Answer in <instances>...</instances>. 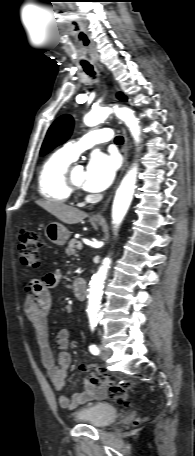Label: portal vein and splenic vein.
I'll use <instances>...</instances> for the list:
<instances>
[{
    "label": "portal vein and splenic vein",
    "instance_id": "obj_1",
    "mask_svg": "<svg viewBox=\"0 0 195 456\" xmlns=\"http://www.w3.org/2000/svg\"><path fill=\"white\" fill-rule=\"evenodd\" d=\"M76 247H77V249H78V250H81V249L83 248V246H82V244H81V243L77 244V246H76Z\"/></svg>",
    "mask_w": 195,
    "mask_h": 456
}]
</instances>
